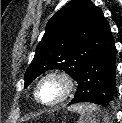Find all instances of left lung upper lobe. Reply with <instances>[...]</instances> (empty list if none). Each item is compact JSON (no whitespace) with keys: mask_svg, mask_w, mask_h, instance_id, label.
Masks as SVG:
<instances>
[{"mask_svg":"<svg viewBox=\"0 0 122 123\" xmlns=\"http://www.w3.org/2000/svg\"><path fill=\"white\" fill-rule=\"evenodd\" d=\"M110 35L109 24L100 8L90 0L70 1L48 21L25 73V88L50 69H62L77 80L86 63Z\"/></svg>","mask_w":122,"mask_h":123,"instance_id":"5c2ea615","label":"left lung upper lobe"}]
</instances>
